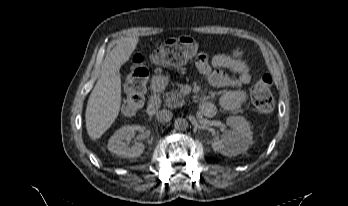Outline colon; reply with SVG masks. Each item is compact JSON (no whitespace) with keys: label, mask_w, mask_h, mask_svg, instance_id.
<instances>
[{"label":"colon","mask_w":348,"mask_h":206,"mask_svg":"<svg viewBox=\"0 0 348 206\" xmlns=\"http://www.w3.org/2000/svg\"><path fill=\"white\" fill-rule=\"evenodd\" d=\"M192 54L189 41L183 37L167 39L153 52L152 59L160 65L178 66L183 64ZM148 70L143 56L132 57L127 73L126 97L122 109L127 114L140 110L145 101L146 79ZM254 107L261 113H268L274 108V98L271 91V79L265 75L258 79L250 92Z\"/></svg>","instance_id":"1"}]
</instances>
